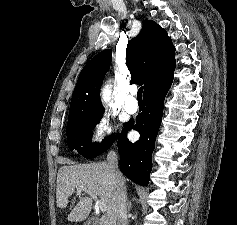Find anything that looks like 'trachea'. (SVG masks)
<instances>
[{
    "instance_id": "obj_1",
    "label": "trachea",
    "mask_w": 237,
    "mask_h": 225,
    "mask_svg": "<svg viewBox=\"0 0 237 225\" xmlns=\"http://www.w3.org/2000/svg\"><path fill=\"white\" fill-rule=\"evenodd\" d=\"M142 92H143V88L140 87L138 92H137V99L138 100H142Z\"/></svg>"
}]
</instances>
